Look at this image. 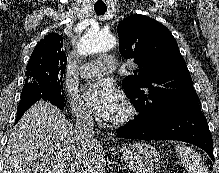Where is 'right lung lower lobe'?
<instances>
[{"label": "right lung lower lobe", "instance_id": "right-lung-lower-lobe-1", "mask_svg": "<svg viewBox=\"0 0 219 173\" xmlns=\"http://www.w3.org/2000/svg\"><path fill=\"white\" fill-rule=\"evenodd\" d=\"M40 99H43V100L51 103L52 105H55L56 107L60 108L61 110L64 109V105L61 106V105L51 101L50 99H48L46 96L42 95L41 93H29L26 95H22L20 103L18 105V109H17L16 123L23 116L25 111H27L35 102H37Z\"/></svg>", "mask_w": 219, "mask_h": 173}]
</instances>
